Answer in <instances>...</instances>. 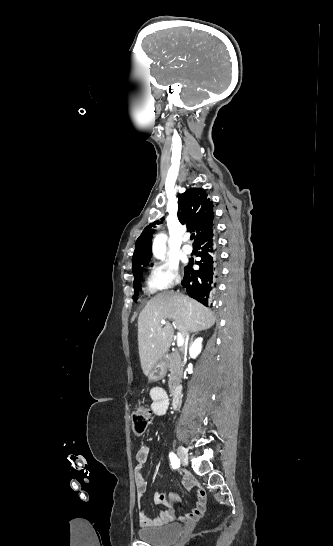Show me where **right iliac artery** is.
<instances>
[{
  "label": "right iliac artery",
  "mask_w": 333,
  "mask_h": 546,
  "mask_svg": "<svg viewBox=\"0 0 333 546\" xmlns=\"http://www.w3.org/2000/svg\"><path fill=\"white\" fill-rule=\"evenodd\" d=\"M169 458H170V461H171L172 468L176 469V468H178L180 466V459H178L176 454L171 452L169 454Z\"/></svg>",
  "instance_id": "obj_1"
}]
</instances>
